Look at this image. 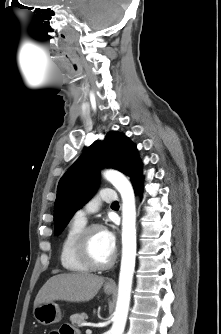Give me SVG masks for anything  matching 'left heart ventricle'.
<instances>
[{"mask_svg":"<svg viewBox=\"0 0 221 334\" xmlns=\"http://www.w3.org/2000/svg\"><path fill=\"white\" fill-rule=\"evenodd\" d=\"M90 251L94 259L100 263H105L112 257L114 250L108 245L104 230L93 232L90 240Z\"/></svg>","mask_w":221,"mask_h":334,"instance_id":"left-heart-ventricle-1","label":"left heart ventricle"}]
</instances>
